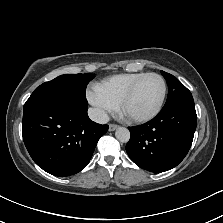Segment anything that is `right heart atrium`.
Returning a JSON list of instances; mask_svg holds the SVG:
<instances>
[{
  "mask_svg": "<svg viewBox=\"0 0 223 223\" xmlns=\"http://www.w3.org/2000/svg\"><path fill=\"white\" fill-rule=\"evenodd\" d=\"M88 100L94 107V113L99 119H104L108 114L117 112L118 104L112 101L97 85H93Z\"/></svg>",
  "mask_w": 223,
  "mask_h": 223,
  "instance_id": "obj_1",
  "label": "right heart atrium"
}]
</instances>
